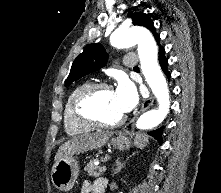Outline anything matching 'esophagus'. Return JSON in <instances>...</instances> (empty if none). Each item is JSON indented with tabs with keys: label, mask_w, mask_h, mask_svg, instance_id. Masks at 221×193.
I'll use <instances>...</instances> for the list:
<instances>
[{
	"label": "esophagus",
	"mask_w": 221,
	"mask_h": 193,
	"mask_svg": "<svg viewBox=\"0 0 221 193\" xmlns=\"http://www.w3.org/2000/svg\"><path fill=\"white\" fill-rule=\"evenodd\" d=\"M153 101H154V98L152 95H150L149 98L143 102L140 111L133 117V119L130 121V123L124 128V131H126L130 127L134 126V123H135L136 119L138 118V116L141 113H143L144 111H146L148 108H150L153 105Z\"/></svg>",
	"instance_id": "34e87169"
}]
</instances>
